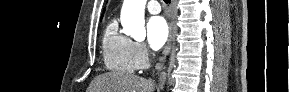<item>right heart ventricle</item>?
<instances>
[{
  "label": "right heart ventricle",
  "mask_w": 289,
  "mask_h": 92,
  "mask_svg": "<svg viewBox=\"0 0 289 92\" xmlns=\"http://www.w3.org/2000/svg\"><path fill=\"white\" fill-rule=\"evenodd\" d=\"M132 42L119 32L116 20L106 26L102 37L103 60L109 70L131 74L136 70Z\"/></svg>",
  "instance_id": "1"
}]
</instances>
